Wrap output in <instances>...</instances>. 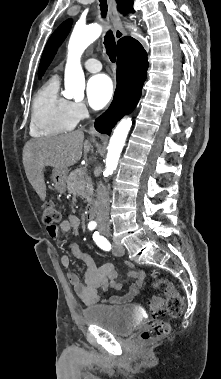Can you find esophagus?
<instances>
[{
    "mask_svg": "<svg viewBox=\"0 0 221 379\" xmlns=\"http://www.w3.org/2000/svg\"><path fill=\"white\" fill-rule=\"evenodd\" d=\"M107 4L109 16L114 27V35L116 40H119L124 36V31L122 29L120 18L116 9V2L115 0H107Z\"/></svg>",
    "mask_w": 221,
    "mask_h": 379,
    "instance_id": "esophagus-1",
    "label": "esophagus"
}]
</instances>
